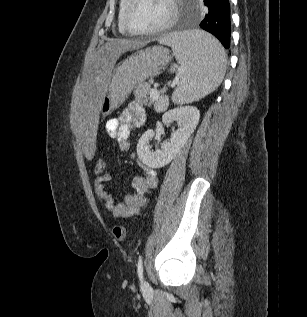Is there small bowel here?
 Masks as SVG:
<instances>
[{"label":"small bowel","mask_w":307,"mask_h":317,"mask_svg":"<svg viewBox=\"0 0 307 317\" xmlns=\"http://www.w3.org/2000/svg\"><path fill=\"white\" fill-rule=\"evenodd\" d=\"M146 119L144 108L138 102H131L117 118H112L106 123V132L119 144L121 150L129 149V137L134 127L143 125ZM144 174L137 176L132 181L134 192L124 197L122 202H117L108 190V183L112 176L108 172L97 175L94 182L95 192L105 208L116 218H126L139 214L146 205L145 194L157 185L155 169L139 163Z\"/></svg>","instance_id":"obj_1"}]
</instances>
